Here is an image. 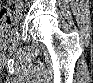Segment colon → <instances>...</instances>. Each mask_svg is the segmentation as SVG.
Segmentation results:
<instances>
[{"instance_id": "colon-1", "label": "colon", "mask_w": 93, "mask_h": 83, "mask_svg": "<svg viewBox=\"0 0 93 83\" xmlns=\"http://www.w3.org/2000/svg\"><path fill=\"white\" fill-rule=\"evenodd\" d=\"M15 13V9L4 6L0 11V21L2 24L7 25L11 22Z\"/></svg>"}]
</instances>
